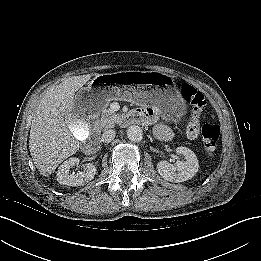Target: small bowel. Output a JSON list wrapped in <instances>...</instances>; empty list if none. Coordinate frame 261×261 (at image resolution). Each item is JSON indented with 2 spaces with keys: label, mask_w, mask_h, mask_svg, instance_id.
<instances>
[{
  "label": "small bowel",
  "mask_w": 261,
  "mask_h": 261,
  "mask_svg": "<svg viewBox=\"0 0 261 261\" xmlns=\"http://www.w3.org/2000/svg\"><path fill=\"white\" fill-rule=\"evenodd\" d=\"M154 114V109L150 107L136 109L132 112L133 122L149 123L153 120ZM154 134L158 139L164 141L170 140L173 136L172 130L163 124H156L154 126Z\"/></svg>",
  "instance_id": "1"
}]
</instances>
